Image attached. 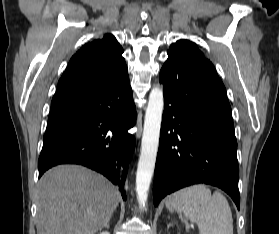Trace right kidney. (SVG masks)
<instances>
[{
	"mask_svg": "<svg viewBox=\"0 0 279 234\" xmlns=\"http://www.w3.org/2000/svg\"><path fill=\"white\" fill-rule=\"evenodd\" d=\"M99 234H110L108 231H102Z\"/></svg>",
	"mask_w": 279,
	"mask_h": 234,
	"instance_id": "ca27d5eb",
	"label": "right kidney"
}]
</instances>
